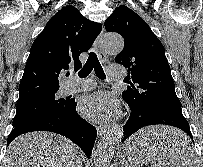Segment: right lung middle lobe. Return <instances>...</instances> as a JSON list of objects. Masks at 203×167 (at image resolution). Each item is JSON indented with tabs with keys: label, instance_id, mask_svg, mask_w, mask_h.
I'll return each instance as SVG.
<instances>
[{
	"label": "right lung middle lobe",
	"instance_id": "right-lung-middle-lobe-1",
	"mask_svg": "<svg viewBox=\"0 0 203 167\" xmlns=\"http://www.w3.org/2000/svg\"><path fill=\"white\" fill-rule=\"evenodd\" d=\"M56 92L46 94L31 101L16 106L13 128L32 119L57 113L68 109L72 100L59 99Z\"/></svg>",
	"mask_w": 203,
	"mask_h": 167
}]
</instances>
